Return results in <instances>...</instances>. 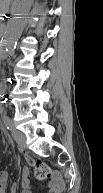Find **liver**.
Returning a JSON list of instances; mask_svg holds the SVG:
<instances>
[{
  "mask_svg": "<svg viewBox=\"0 0 103 193\" xmlns=\"http://www.w3.org/2000/svg\"><path fill=\"white\" fill-rule=\"evenodd\" d=\"M12 0H0V11L1 13H5L9 9L10 2Z\"/></svg>",
  "mask_w": 103,
  "mask_h": 193,
  "instance_id": "6515ba94",
  "label": "liver"
}]
</instances>
